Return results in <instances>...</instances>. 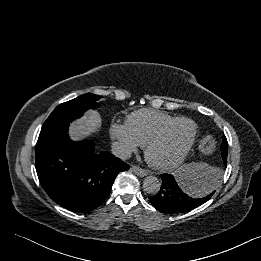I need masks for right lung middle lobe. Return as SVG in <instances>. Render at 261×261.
Returning a JSON list of instances; mask_svg holds the SVG:
<instances>
[{"mask_svg":"<svg viewBox=\"0 0 261 261\" xmlns=\"http://www.w3.org/2000/svg\"><path fill=\"white\" fill-rule=\"evenodd\" d=\"M101 97L92 93L83 94L75 99L58 105L50 114L44 124H49L55 121L64 119H77L83 115L88 109L98 107L97 100Z\"/></svg>","mask_w":261,"mask_h":261,"instance_id":"1","label":"right lung middle lobe"}]
</instances>
